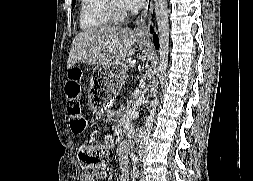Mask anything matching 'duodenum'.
<instances>
[{"instance_id":"obj_1","label":"duodenum","mask_w":253,"mask_h":181,"mask_svg":"<svg viewBox=\"0 0 253 181\" xmlns=\"http://www.w3.org/2000/svg\"><path fill=\"white\" fill-rule=\"evenodd\" d=\"M142 133H143V129H140V130H138V131L135 133V136H136V137H139V136L142 135Z\"/></svg>"}]
</instances>
